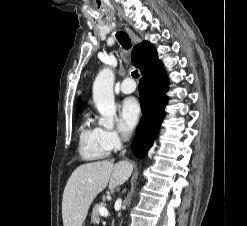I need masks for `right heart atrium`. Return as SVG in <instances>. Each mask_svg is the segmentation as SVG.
I'll list each match as a JSON object with an SVG mask.
<instances>
[{
    "instance_id": "obj_1",
    "label": "right heart atrium",
    "mask_w": 247,
    "mask_h": 226,
    "mask_svg": "<svg viewBox=\"0 0 247 226\" xmlns=\"http://www.w3.org/2000/svg\"><path fill=\"white\" fill-rule=\"evenodd\" d=\"M102 137L109 149L116 148L120 143V134L116 130L102 129Z\"/></svg>"
}]
</instances>
